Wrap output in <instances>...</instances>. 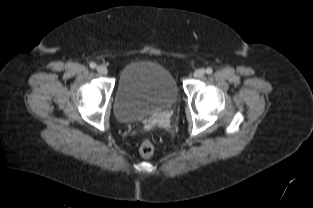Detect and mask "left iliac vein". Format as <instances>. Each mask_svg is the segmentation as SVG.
I'll return each mask as SVG.
<instances>
[{
	"label": "left iliac vein",
	"instance_id": "obj_1",
	"mask_svg": "<svg viewBox=\"0 0 313 208\" xmlns=\"http://www.w3.org/2000/svg\"><path fill=\"white\" fill-rule=\"evenodd\" d=\"M205 74V70L204 69H197L195 72H194V77L196 78H201L203 77Z\"/></svg>",
	"mask_w": 313,
	"mask_h": 208
}]
</instances>
